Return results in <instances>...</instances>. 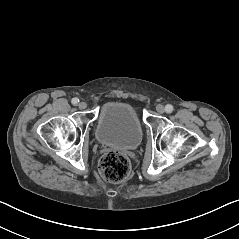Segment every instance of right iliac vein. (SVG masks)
<instances>
[{
  "instance_id": "obj_1",
  "label": "right iliac vein",
  "mask_w": 239,
  "mask_h": 239,
  "mask_svg": "<svg viewBox=\"0 0 239 239\" xmlns=\"http://www.w3.org/2000/svg\"><path fill=\"white\" fill-rule=\"evenodd\" d=\"M78 107H79V109L83 110V109H85L87 107V103L86 102H80L78 104Z\"/></svg>"
}]
</instances>
